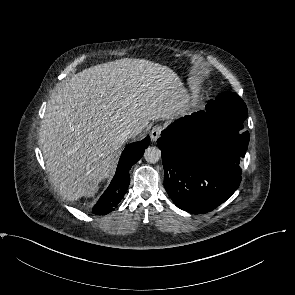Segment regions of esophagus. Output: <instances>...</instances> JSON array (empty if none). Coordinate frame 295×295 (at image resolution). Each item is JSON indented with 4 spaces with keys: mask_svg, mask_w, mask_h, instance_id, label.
<instances>
[{
    "mask_svg": "<svg viewBox=\"0 0 295 295\" xmlns=\"http://www.w3.org/2000/svg\"><path fill=\"white\" fill-rule=\"evenodd\" d=\"M162 126L161 125H155L151 130V140L153 142H156L161 134Z\"/></svg>",
    "mask_w": 295,
    "mask_h": 295,
    "instance_id": "esophagus-1",
    "label": "esophagus"
}]
</instances>
